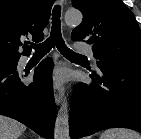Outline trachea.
<instances>
[{"instance_id": "1", "label": "trachea", "mask_w": 141, "mask_h": 139, "mask_svg": "<svg viewBox=\"0 0 141 139\" xmlns=\"http://www.w3.org/2000/svg\"><path fill=\"white\" fill-rule=\"evenodd\" d=\"M60 17L61 8L59 5H56L52 11V27L50 36L41 44H32V47L35 49V53L44 55L56 46L59 52L65 57L85 58V56L75 53L66 46L61 34Z\"/></svg>"}]
</instances>
